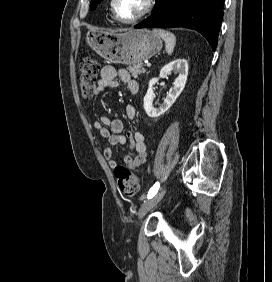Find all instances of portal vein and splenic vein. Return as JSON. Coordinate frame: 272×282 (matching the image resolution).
<instances>
[{"label": "portal vein and splenic vein", "mask_w": 272, "mask_h": 282, "mask_svg": "<svg viewBox=\"0 0 272 282\" xmlns=\"http://www.w3.org/2000/svg\"><path fill=\"white\" fill-rule=\"evenodd\" d=\"M147 67L150 68L151 67V63H147Z\"/></svg>", "instance_id": "obj_1"}]
</instances>
